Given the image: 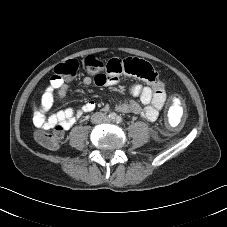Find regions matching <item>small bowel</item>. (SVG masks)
<instances>
[{"label":"small bowel","instance_id":"obj_1","mask_svg":"<svg viewBox=\"0 0 227 227\" xmlns=\"http://www.w3.org/2000/svg\"><path fill=\"white\" fill-rule=\"evenodd\" d=\"M116 60L120 70H123L124 62L119 59ZM153 71L154 77L152 79L143 78L147 83L146 85L135 84L130 87L131 95L138 97L142 106L136 101L127 100L121 102L117 106L119 111L141 114L148 121H155L158 118L159 112L166 101V87L165 83L159 78L158 73L154 69ZM117 79L118 74H114L108 70L106 73H101V80H98L94 75L84 77L82 82L86 86H89L92 83L110 86L114 85L117 82ZM67 92L68 86L63 84L57 92V95H55L53 89H48L43 94L40 112L36 113L33 119L34 124L38 128L49 129L57 126L61 130H68L75 124L77 118L82 113H89L95 109L96 102L90 100L79 110L68 107L49 113L55 99L63 101ZM108 109V106L104 107V110Z\"/></svg>","mask_w":227,"mask_h":227}]
</instances>
